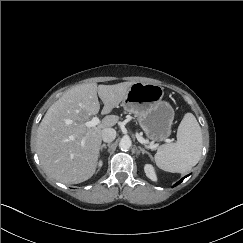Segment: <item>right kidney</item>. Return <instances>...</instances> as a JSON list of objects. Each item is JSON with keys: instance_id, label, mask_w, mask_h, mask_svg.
Listing matches in <instances>:
<instances>
[{"instance_id": "1", "label": "right kidney", "mask_w": 243, "mask_h": 243, "mask_svg": "<svg viewBox=\"0 0 243 243\" xmlns=\"http://www.w3.org/2000/svg\"><path fill=\"white\" fill-rule=\"evenodd\" d=\"M101 166H102V162L99 161V163H98V167L100 168Z\"/></svg>"}]
</instances>
